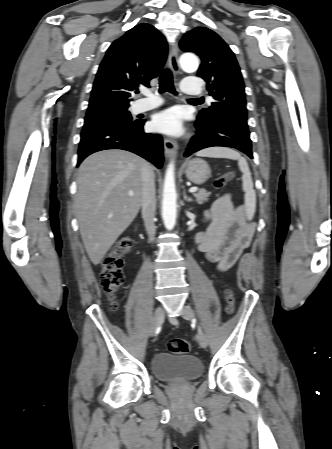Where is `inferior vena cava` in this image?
Wrapping results in <instances>:
<instances>
[{
  "label": "inferior vena cava",
  "instance_id": "602c4592",
  "mask_svg": "<svg viewBox=\"0 0 332 449\" xmlns=\"http://www.w3.org/2000/svg\"><path fill=\"white\" fill-rule=\"evenodd\" d=\"M142 178V216L149 239L153 241L155 235L154 217L156 212L155 175L153 169L145 164L141 169Z\"/></svg>",
  "mask_w": 332,
  "mask_h": 449
}]
</instances>
